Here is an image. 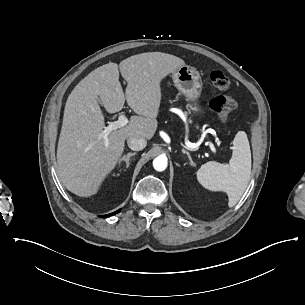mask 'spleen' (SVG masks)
Instances as JSON below:
<instances>
[{
	"label": "spleen",
	"mask_w": 305,
	"mask_h": 305,
	"mask_svg": "<svg viewBox=\"0 0 305 305\" xmlns=\"http://www.w3.org/2000/svg\"><path fill=\"white\" fill-rule=\"evenodd\" d=\"M251 175V150L247 134L239 131L233 140L229 164L209 161L197 171L198 182L210 191H224L233 207L247 188Z\"/></svg>",
	"instance_id": "obj_1"
}]
</instances>
